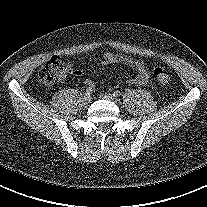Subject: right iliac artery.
Returning a JSON list of instances; mask_svg holds the SVG:
<instances>
[{"instance_id":"82829eb1","label":"right iliac artery","mask_w":207,"mask_h":207,"mask_svg":"<svg viewBox=\"0 0 207 207\" xmlns=\"http://www.w3.org/2000/svg\"><path fill=\"white\" fill-rule=\"evenodd\" d=\"M86 93L89 94V95L92 94L93 93V89L91 87H88L86 89Z\"/></svg>"}]
</instances>
